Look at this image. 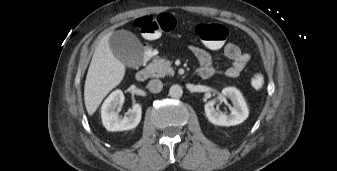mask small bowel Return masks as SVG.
Instances as JSON below:
<instances>
[{
	"mask_svg": "<svg viewBox=\"0 0 337 171\" xmlns=\"http://www.w3.org/2000/svg\"><path fill=\"white\" fill-rule=\"evenodd\" d=\"M190 51L200 64L199 70L203 72L201 78L208 79L212 77L216 71L213 67L211 54L199 46H191ZM223 51L225 56L232 61V64L222 71V73L229 78L238 77L248 64L250 55L241 51V49L234 43H227L223 47Z\"/></svg>",
	"mask_w": 337,
	"mask_h": 171,
	"instance_id": "small-bowel-1",
	"label": "small bowel"
}]
</instances>
